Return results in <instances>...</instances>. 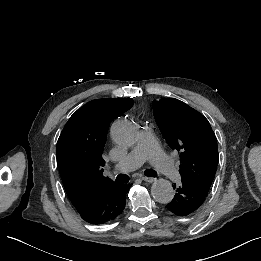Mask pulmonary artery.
<instances>
[{
	"instance_id": "pulmonary-artery-1",
	"label": "pulmonary artery",
	"mask_w": 261,
	"mask_h": 261,
	"mask_svg": "<svg viewBox=\"0 0 261 261\" xmlns=\"http://www.w3.org/2000/svg\"><path fill=\"white\" fill-rule=\"evenodd\" d=\"M145 161L155 164L168 183H177L181 179V172L175 168L171 159L161 152L154 130L147 123L141 126L138 143L113 168V173L133 171Z\"/></svg>"
}]
</instances>
